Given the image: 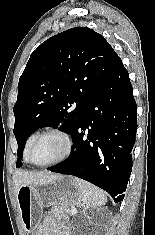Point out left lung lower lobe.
<instances>
[{
  "label": "left lung lower lobe",
  "mask_w": 155,
  "mask_h": 235,
  "mask_svg": "<svg viewBox=\"0 0 155 235\" xmlns=\"http://www.w3.org/2000/svg\"><path fill=\"white\" fill-rule=\"evenodd\" d=\"M136 130L137 105L119 59L74 129L70 156L48 170L82 178L121 202L131 174Z\"/></svg>",
  "instance_id": "left-lung-lower-lobe-1"
}]
</instances>
